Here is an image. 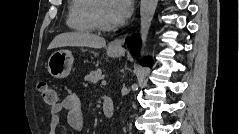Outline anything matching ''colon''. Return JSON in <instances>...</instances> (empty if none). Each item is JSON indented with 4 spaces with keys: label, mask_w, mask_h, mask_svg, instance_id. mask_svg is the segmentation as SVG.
Instances as JSON below:
<instances>
[{
    "label": "colon",
    "mask_w": 239,
    "mask_h": 134,
    "mask_svg": "<svg viewBox=\"0 0 239 134\" xmlns=\"http://www.w3.org/2000/svg\"><path fill=\"white\" fill-rule=\"evenodd\" d=\"M38 89L42 95L44 102L48 105L54 106L57 104L58 101V94L57 92L50 87V85L45 82L41 81L39 83Z\"/></svg>",
    "instance_id": "1"
}]
</instances>
